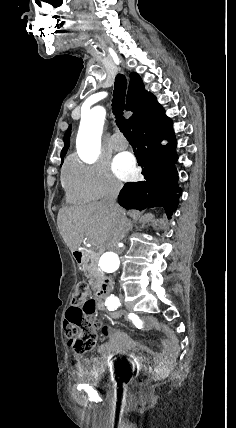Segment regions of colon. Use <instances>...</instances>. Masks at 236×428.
<instances>
[{
    "mask_svg": "<svg viewBox=\"0 0 236 428\" xmlns=\"http://www.w3.org/2000/svg\"><path fill=\"white\" fill-rule=\"evenodd\" d=\"M96 306V301L89 295L88 284L79 282L73 291L71 307L64 321L69 346L77 353H86L95 347L96 333L90 316Z\"/></svg>",
    "mask_w": 236,
    "mask_h": 428,
    "instance_id": "1",
    "label": "colon"
}]
</instances>
